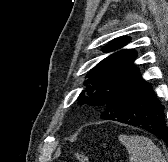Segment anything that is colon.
Segmentation results:
<instances>
[{
	"instance_id": "1",
	"label": "colon",
	"mask_w": 168,
	"mask_h": 162,
	"mask_svg": "<svg viewBox=\"0 0 168 162\" xmlns=\"http://www.w3.org/2000/svg\"><path fill=\"white\" fill-rule=\"evenodd\" d=\"M74 157L76 162H90L88 156L83 153H77Z\"/></svg>"
}]
</instances>
